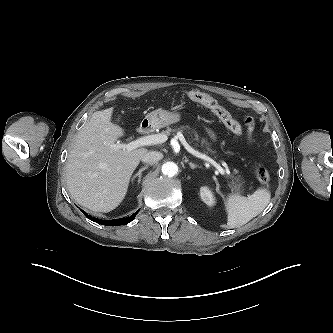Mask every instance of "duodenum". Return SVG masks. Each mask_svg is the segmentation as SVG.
Instances as JSON below:
<instances>
[{
    "mask_svg": "<svg viewBox=\"0 0 333 333\" xmlns=\"http://www.w3.org/2000/svg\"><path fill=\"white\" fill-rule=\"evenodd\" d=\"M148 129H149V127H148L147 124H142V125H140V127H139V131L142 132V133L147 132Z\"/></svg>",
    "mask_w": 333,
    "mask_h": 333,
    "instance_id": "410a0bca",
    "label": "duodenum"
}]
</instances>
